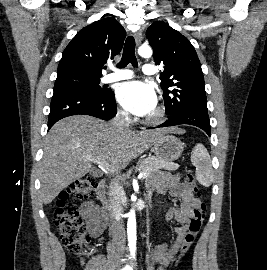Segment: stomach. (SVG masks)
<instances>
[{
	"label": "stomach",
	"mask_w": 267,
	"mask_h": 270,
	"mask_svg": "<svg viewBox=\"0 0 267 270\" xmlns=\"http://www.w3.org/2000/svg\"><path fill=\"white\" fill-rule=\"evenodd\" d=\"M184 146L176 136L165 134L153 143V152L157 158L165 161H174L178 159Z\"/></svg>",
	"instance_id": "1"
}]
</instances>
